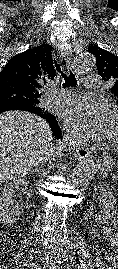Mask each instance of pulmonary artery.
Listing matches in <instances>:
<instances>
[{
    "mask_svg": "<svg viewBox=\"0 0 118 269\" xmlns=\"http://www.w3.org/2000/svg\"><path fill=\"white\" fill-rule=\"evenodd\" d=\"M101 84V80L98 76H91L87 77L85 79V85L87 86L88 89H97ZM78 99V95L74 93L67 94L63 97H54L52 98V102L54 104H60V105H68L75 103Z\"/></svg>",
    "mask_w": 118,
    "mask_h": 269,
    "instance_id": "obj_1",
    "label": "pulmonary artery"
}]
</instances>
